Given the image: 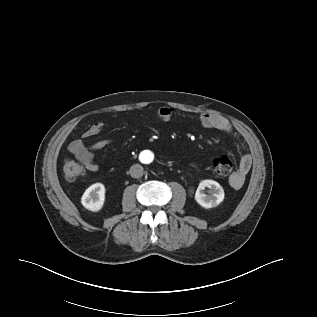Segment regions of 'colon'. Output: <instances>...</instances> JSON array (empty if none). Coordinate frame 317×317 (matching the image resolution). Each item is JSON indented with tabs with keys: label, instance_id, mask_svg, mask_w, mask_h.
I'll return each mask as SVG.
<instances>
[{
	"label": "colon",
	"instance_id": "5ec220e1",
	"mask_svg": "<svg viewBox=\"0 0 317 317\" xmlns=\"http://www.w3.org/2000/svg\"><path fill=\"white\" fill-rule=\"evenodd\" d=\"M233 166V161L225 155L213 159L211 163L213 173L219 177L229 175L233 170ZM63 172L67 180L74 181L84 174L85 168L72 159H66L63 163Z\"/></svg>",
	"mask_w": 317,
	"mask_h": 317
}]
</instances>
